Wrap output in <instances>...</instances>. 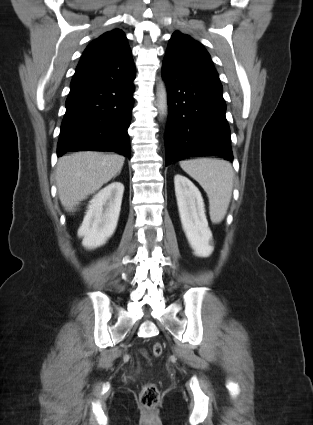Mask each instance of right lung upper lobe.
I'll use <instances>...</instances> for the list:
<instances>
[{
	"instance_id": "right-lung-upper-lobe-1",
	"label": "right lung upper lobe",
	"mask_w": 313,
	"mask_h": 425,
	"mask_svg": "<svg viewBox=\"0 0 313 425\" xmlns=\"http://www.w3.org/2000/svg\"><path fill=\"white\" fill-rule=\"evenodd\" d=\"M133 59L124 32L113 29L93 40L85 49L80 64H132Z\"/></svg>"
}]
</instances>
